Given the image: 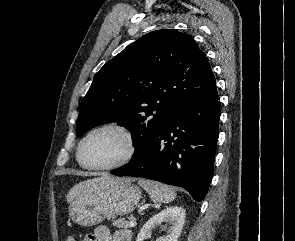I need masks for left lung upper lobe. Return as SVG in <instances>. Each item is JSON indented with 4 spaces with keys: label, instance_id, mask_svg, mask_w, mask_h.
Wrapping results in <instances>:
<instances>
[{
    "label": "left lung upper lobe",
    "instance_id": "5c2ea615",
    "mask_svg": "<svg viewBox=\"0 0 295 241\" xmlns=\"http://www.w3.org/2000/svg\"><path fill=\"white\" fill-rule=\"evenodd\" d=\"M214 84L206 56L191 36L175 29L150 32L96 73L80 104L77 137L118 122L131 132L134 158L178 109Z\"/></svg>",
    "mask_w": 295,
    "mask_h": 241
}]
</instances>
